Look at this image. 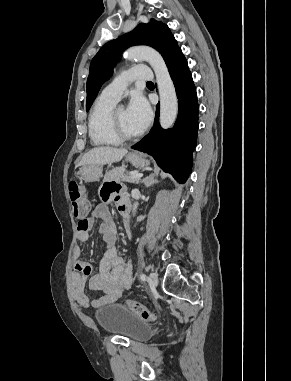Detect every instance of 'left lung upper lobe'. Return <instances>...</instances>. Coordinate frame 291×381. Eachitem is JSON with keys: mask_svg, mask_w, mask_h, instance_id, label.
Masks as SVG:
<instances>
[{"mask_svg": "<svg viewBox=\"0 0 291 381\" xmlns=\"http://www.w3.org/2000/svg\"><path fill=\"white\" fill-rule=\"evenodd\" d=\"M149 45L160 52L165 63L180 49L168 26L151 19L141 23L133 31L106 43L90 64L87 79V110L97 96L102 84L112 74L117 56L127 47Z\"/></svg>", "mask_w": 291, "mask_h": 381, "instance_id": "obj_1", "label": "left lung upper lobe"}]
</instances>
